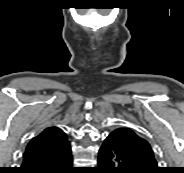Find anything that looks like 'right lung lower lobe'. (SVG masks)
I'll use <instances>...</instances> for the list:
<instances>
[{
	"label": "right lung lower lobe",
	"instance_id": "obj_1",
	"mask_svg": "<svg viewBox=\"0 0 184 173\" xmlns=\"http://www.w3.org/2000/svg\"><path fill=\"white\" fill-rule=\"evenodd\" d=\"M71 148L64 152L47 158L29 161L17 171L18 173H77V168L72 166Z\"/></svg>",
	"mask_w": 184,
	"mask_h": 173
}]
</instances>
